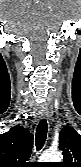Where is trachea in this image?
Segmentation results:
<instances>
[{
	"label": "trachea",
	"mask_w": 81,
	"mask_h": 167,
	"mask_svg": "<svg viewBox=\"0 0 81 167\" xmlns=\"http://www.w3.org/2000/svg\"><path fill=\"white\" fill-rule=\"evenodd\" d=\"M48 125L46 119L41 120L36 129V148L41 150L47 137Z\"/></svg>",
	"instance_id": "3493384b"
}]
</instances>
